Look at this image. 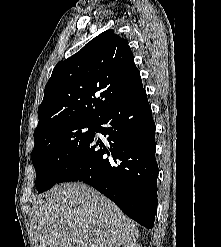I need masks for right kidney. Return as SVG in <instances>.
Masks as SVG:
<instances>
[{"label":"right kidney","mask_w":221,"mask_h":247,"mask_svg":"<svg viewBox=\"0 0 221 247\" xmlns=\"http://www.w3.org/2000/svg\"><path fill=\"white\" fill-rule=\"evenodd\" d=\"M124 247H141V246L136 243H131V244L125 245Z\"/></svg>","instance_id":"ca27d5eb"}]
</instances>
